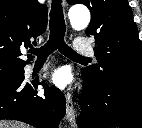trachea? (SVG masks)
Listing matches in <instances>:
<instances>
[{
  "instance_id": "3493384b",
  "label": "trachea",
  "mask_w": 142,
  "mask_h": 128,
  "mask_svg": "<svg viewBox=\"0 0 142 128\" xmlns=\"http://www.w3.org/2000/svg\"><path fill=\"white\" fill-rule=\"evenodd\" d=\"M61 2V0H52L49 23V40L45 45L38 49L33 47L30 48L29 52L31 54H35L38 58H47L51 53L58 49L64 55L89 60V58L76 53L64 41L66 27Z\"/></svg>"
}]
</instances>
